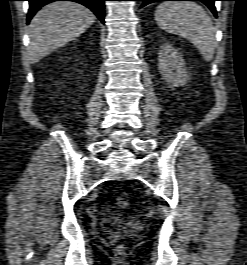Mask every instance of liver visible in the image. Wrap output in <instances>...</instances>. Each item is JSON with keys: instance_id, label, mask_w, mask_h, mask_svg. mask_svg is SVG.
I'll use <instances>...</instances> for the list:
<instances>
[{"instance_id": "obj_1", "label": "liver", "mask_w": 247, "mask_h": 265, "mask_svg": "<svg viewBox=\"0 0 247 265\" xmlns=\"http://www.w3.org/2000/svg\"><path fill=\"white\" fill-rule=\"evenodd\" d=\"M94 14L75 2H53L40 9L29 26L28 55L31 63L63 47L84 33Z\"/></svg>"}]
</instances>
